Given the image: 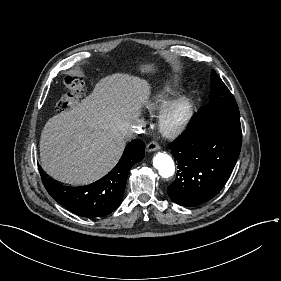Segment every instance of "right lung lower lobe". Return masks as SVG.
<instances>
[{"instance_id": "right-lung-lower-lobe-1", "label": "right lung lower lobe", "mask_w": 281, "mask_h": 281, "mask_svg": "<svg viewBox=\"0 0 281 281\" xmlns=\"http://www.w3.org/2000/svg\"><path fill=\"white\" fill-rule=\"evenodd\" d=\"M145 146L138 139L125 148L118 164L106 176L95 183L81 187H67L40 175L48 193L69 211L83 217H103L121 204L128 171L144 158Z\"/></svg>"}]
</instances>
